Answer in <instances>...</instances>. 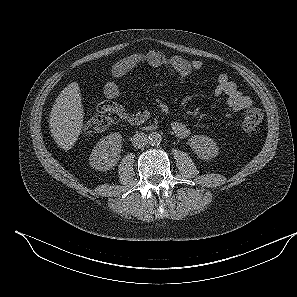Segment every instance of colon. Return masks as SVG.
I'll return each instance as SVG.
<instances>
[{
  "label": "colon",
  "mask_w": 297,
  "mask_h": 297,
  "mask_svg": "<svg viewBox=\"0 0 297 297\" xmlns=\"http://www.w3.org/2000/svg\"><path fill=\"white\" fill-rule=\"evenodd\" d=\"M117 116L111 112H100L95 117L88 120L84 125L87 134H102L110 126L115 124ZM263 120V113L259 108H249L243 115L242 128L246 132H255Z\"/></svg>",
  "instance_id": "1"
}]
</instances>
